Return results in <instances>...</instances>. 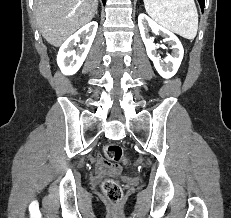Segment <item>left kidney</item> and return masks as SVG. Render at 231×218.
<instances>
[{
  "mask_svg": "<svg viewBox=\"0 0 231 218\" xmlns=\"http://www.w3.org/2000/svg\"><path fill=\"white\" fill-rule=\"evenodd\" d=\"M138 26L146 47L147 55L152 60L157 72L163 78H171L174 76L184 55L183 46L177 36L170 30L157 24L144 13L138 16ZM149 28H151L155 34L162 35L165 38L164 41L171 44L172 54L166 57V64H164L163 61H160L158 57L156 51L157 46L154 44L153 39L148 35Z\"/></svg>",
  "mask_w": 231,
  "mask_h": 218,
  "instance_id": "5707ae66",
  "label": "left kidney"
}]
</instances>
